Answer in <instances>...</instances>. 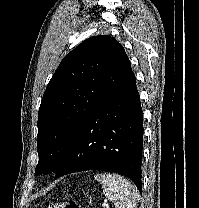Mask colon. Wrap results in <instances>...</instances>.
Returning <instances> with one entry per match:
<instances>
[{
	"label": "colon",
	"instance_id": "5ec220e1",
	"mask_svg": "<svg viewBox=\"0 0 199 208\" xmlns=\"http://www.w3.org/2000/svg\"><path fill=\"white\" fill-rule=\"evenodd\" d=\"M47 208H81V206L72 200H64L50 202L48 203Z\"/></svg>",
	"mask_w": 199,
	"mask_h": 208
}]
</instances>
